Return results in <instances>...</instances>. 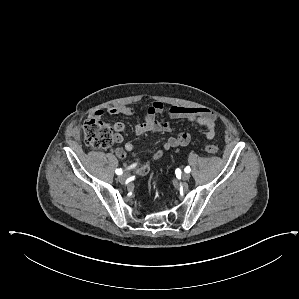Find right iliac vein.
<instances>
[{"label": "right iliac vein", "mask_w": 299, "mask_h": 299, "mask_svg": "<svg viewBox=\"0 0 299 299\" xmlns=\"http://www.w3.org/2000/svg\"><path fill=\"white\" fill-rule=\"evenodd\" d=\"M128 178V175L127 174H123L121 176L118 177V180L120 183H124Z\"/></svg>", "instance_id": "obj_1"}]
</instances>
